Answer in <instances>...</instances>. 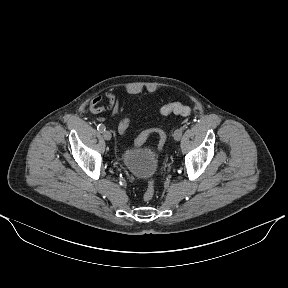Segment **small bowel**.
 <instances>
[{
    "label": "small bowel",
    "instance_id": "c3829d8e",
    "mask_svg": "<svg viewBox=\"0 0 288 288\" xmlns=\"http://www.w3.org/2000/svg\"><path fill=\"white\" fill-rule=\"evenodd\" d=\"M105 97L107 101L106 105H100V102L102 100V97L100 95L93 97L89 105L90 110L95 114L110 111L113 117H118L121 113V106L118 97L112 91H107ZM122 120L118 125V130ZM119 133L123 134L121 130H119Z\"/></svg>",
    "mask_w": 288,
    "mask_h": 288
}]
</instances>
